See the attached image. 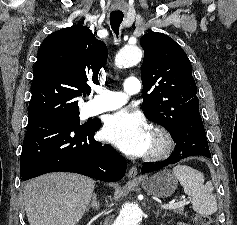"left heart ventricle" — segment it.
I'll return each instance as SVG.
<instances>
[{
  "label": "left heart ventricle",
  "mask_w": 237,
  "mask_h": 225,
  "mask_svg": "<svg viewBox=\"0 0 237 225\" xmlns=\"http://www.w3.org/2000/svg\"><path fill=\"white\" fill-rule=\"evenodd\" d=\"M152 144H153V140H152L151 137H150V138H149L148 149H149V147H151Z\"/></svg>",
  "instance_id": "1"
}]
</instances>
